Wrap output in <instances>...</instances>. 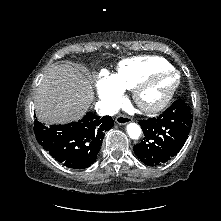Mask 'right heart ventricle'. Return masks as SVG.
I'll return each instance as SVG.
<instances>
[{
    "label": "right heart ventricle",
    "mask_w": 221,
    "mask_h": 221,
    "mask_svg": "<svg viewBox=\"0 0 221 221\" xmlns=\"http://www.w3.org/2000/svg\"><path fill=\"white\" fill-rule=\"evenodd\" d=\"M168 68H172L171 64L161 57H134L122 60L113 76L123 90H133L152 72Z\"/></svg>",
    "instance_id": "right-heart-ventricle-1"
}]
</instances>
